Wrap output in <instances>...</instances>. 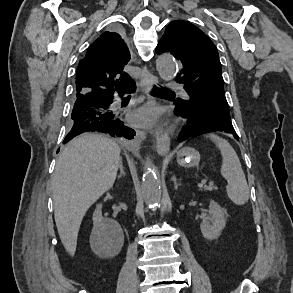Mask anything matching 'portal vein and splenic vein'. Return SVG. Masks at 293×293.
I'll use <instances>...</instances> for the list:
<instances>
[{
  "label": "portal vein and splenic vein",
  "mask_w": 293,
  "mask_h": 293,
  "mask_svg": "<svg viewBox=\"0 0 293 293\" xmlns=\"http://www.w3.org/2000/svg\"><path fill=\"white\" fill-rule=\"evenodd\" d=\"M204 184H206V180H205V179H203V180L201 181V185H204Z\"/></svg>",
  "instance_id": "obj_1"
}]
</instances>
